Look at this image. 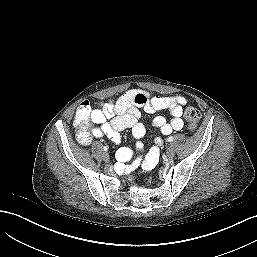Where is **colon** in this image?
Masks as SVG:
<instances>
[{"mask_svg": "<svg viewBox=\"0 0 257 257\" xmlns=\"http://www.w3.org/2000/svg\"><path fill=\"white\" fill-rule=\"evenodd\" d=\"M78 122L81 126H86L90 121V111L91 107L88 101H83L80 103L78 108ZM201 113L195 107H188L184 111V118L187 123V128L189 131H194L198 125Z\"/></svg>", "mask_w": 257, "mask_h": 257, "instance_id": "colon-1", "label": "colon"}]
</instances>
